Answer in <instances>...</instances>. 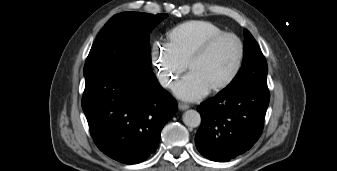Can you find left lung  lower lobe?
I'll return each mask as SVG.
<instances>
[{
    "instance_id": "left-lung-lower-lobe-1",
    "label": "left lung lower lobe",
    "mask_w": 337,
    "mask_h": 171,
    "mask_svg": "<svg viewBox=\"0 0 337 171\" xmlns=\"http://www.w3.org/2000/svg\"><path fill=\"white\" fill-rule=\"evenodd\" d=\"M269 104L265 85L252 84L220 92L197 108L201 125L195 136L205 158L227 162L249 150L259 139Z\"/></svg>"
}]
</instances>
